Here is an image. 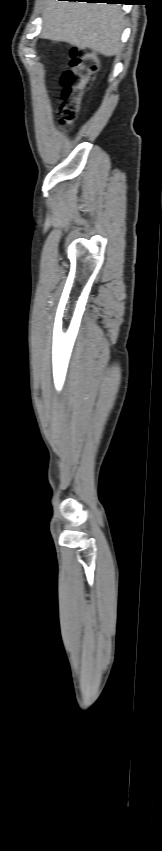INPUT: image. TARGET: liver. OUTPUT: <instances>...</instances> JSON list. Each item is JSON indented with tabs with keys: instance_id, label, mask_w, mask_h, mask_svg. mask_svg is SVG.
Returning <instances> with one entry per match:
<instances>
[{
	"instance_id": "liver-1",
	"label": "liver",
	"mask_w": 162,
	"mask_h": 851,
	"mask_svg": "<svg viewBox=\"0 0 162 851\" xmlns=\"http://www.w3.org/2000/svg\"><path fill=\"white\" fill-rule=\"evenodd\" d=\"M42 37L91 49L104 56L118 55L124 15L119 5L45 0Z\"/></svg>"
}]
</instances>
